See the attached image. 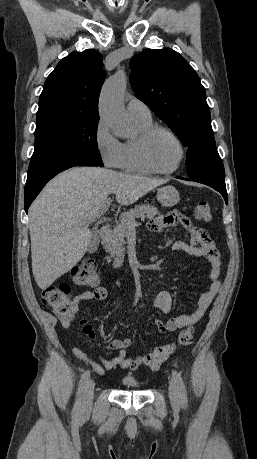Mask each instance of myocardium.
Masks as SVG:
<instances>
[{
  "instance_id": "obj_1",
  "label": "myocardium",
  "mask_w": 257,
  "mask_h": 459,
  "mask_svg": "<svg viewBox=\"0 0 257 459\" xmlns=\"http://www.w3.org/2000/svg\"><path fill=\"white\" fill-rule=\"evenodd\" d=\"M165 133L169 135L177 144L180 150V157L174 168L170 170L160 169L155 165L150 154V144L154 136L158 133ZM139 152L143 163L154 173L162 175H170L177 172L182 166L186 158V149L180 140V138L169 128L161 125H151L149 128L144 130L139 136Z\"/></svg>"
}]
</instances>
